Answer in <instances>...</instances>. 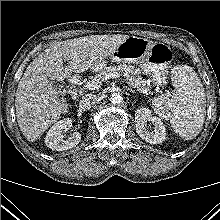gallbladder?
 Here are the masks:
<instances>
[{"instance_id":"obj_1","label":"gallbladder","mask_w":220,"mask_h":220,"mask_svg":"<svg viewBox=\"0 0 220 220\" xmlns=\"http://www.w3.org/2000/svg\"><path fill=\"white\" fill-rule=\"evenodd\" d=\"M52 83H53V86H54L58 91H60V92H62V93L65 92V89H64V86H63V85L57 83V82L54 81V80L52 81Z\"/></svg>"}]
</instances>
